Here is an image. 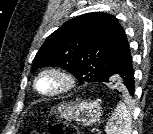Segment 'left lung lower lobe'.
Segmentation results:
<instances>
[{
  "instance_id": "0a47b994",
  "label": "left lung lower lobe",
  "mask_w": 153,
  "mask_h": 134,
  "mask_svg": "<svg viewBox=\"0 0 153 134\" xmlns=\"http://www.w3.org/2000/svg\"><path fill=\"white\" fill-rule=\"evenodd\" d=\"M115 76L117 77V80L123 87V90H120V92L118 93L124 95H133L135 91V86L132 58L116 72ZM104 82L107 81L104 80Z\"/></svg>"
}]
</instances>
